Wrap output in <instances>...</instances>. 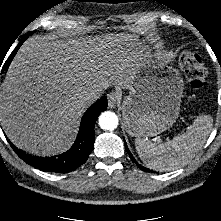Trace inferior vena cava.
Masks as SVG:
<instances>
[{"label": "inferior vena cava", "instance_id": "1", "mask_svg": "<svg viewBox=\"0 0 221 221\" xmlns=\"http://www.w3.org/2000/svg\"><path fill=\"white\" fill-rule=\"evenodd\" d=\"M98 93L96 91H83L78 95L79 102L82 104L91 103L94 99L97 98Z\"/></svg>", "mask_w": 221, "mask_h": 221}]
</instances>
